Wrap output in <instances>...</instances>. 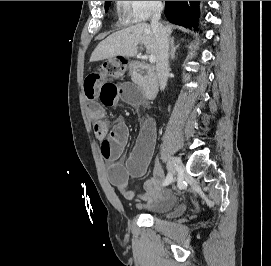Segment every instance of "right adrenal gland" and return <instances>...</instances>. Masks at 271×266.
<instances>
[{"label": "right adrenal gland", "instance_id": "right-adrenal-gland-1", "mask_svg": "<svg viewBox=\"0 0 271 266\" xmlns=\"http://www.w3.org/2000/svg\"><path fill=\"white\" fill-rule=\"evenodd\" d=\"M178 47H179V44L175 46L174 45V37H172L170 39V58H171V60H173L175 58V52Z\"/></svg>", "mask_w": 271, "mask_h": 266}]
</instances>
